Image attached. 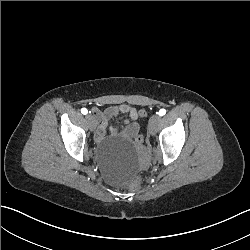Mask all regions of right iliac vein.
<instances>
[{
    "instance_id": "1",
    "label": "right iliac vein",
    "mask_w": 250,
    "mask_h": 250,
    "mask_svg": "<svg viewBox=\"0 0 250 250\" xmlns=\"http://www.w3.org/2000/svg\"><path fill=\"white\" fill-rule=\"evenodd\" d=\"M86 120H87V122L89 124L90 129L94 130L95 127H96V120H95V118L92 115L87 114L86 115Z\"/></svg>"
}]
</instances>
